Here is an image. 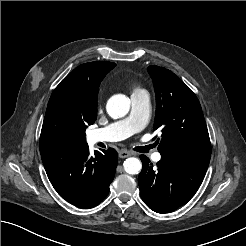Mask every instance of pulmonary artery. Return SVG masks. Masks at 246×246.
<instances>
[{
    "instance_id": "e3ab8cb5",
    "label": "pulmonary artery",
    "mask_w": 246,
    "mask_h": 246,
    "mask_svg": "<svg viewBox=\"0 0 246 246\" xmlns=\"http://www.w3.org/2000/svg\"><path fill=\"white\" fill-rule=\"evenodd\" d=\"M150 99L145 91L131 95V112L125 119L114 122L104 128L93 130L89 139L92 143L116 142L124 140L131 135L141 131L150 119ZM152 159L158 162L161 154L156 152Z\"/></svg>"
}]
</instances>
